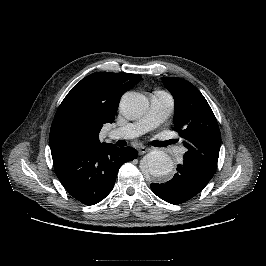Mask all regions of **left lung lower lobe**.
I'll return each instance as SVG.
<instances>
[{"instance_id": "0a47b994", "label": "left lung lower lobe", "mask_w": 266, "mask_h": 266, "mask_svg": "<svg viewBox=\"0 0 266 266\" xmlns=\"http://www.w3.org/2000/svg\"><path fill=\"white\" fill-rule=\"evenodd\" d=\"M213 175L183 161L171 180L162 184L151 183V190L168 203L181 204L197 195Z\"/></svg>"}]
</instances>
